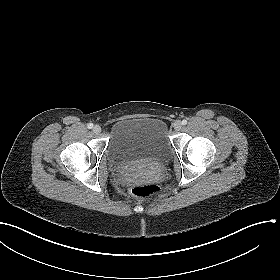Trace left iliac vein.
<instances>
[{
	"label": "left iliac vein",
	"instance_id": "left-iliac-vein-1",
	"mask_svg": "<svg viewBox=\"0 0 280 280\" xmlns=\"http://www.w3.org/2000/svg\"><path fill=\"white\" fill-rule=\"evenodd\" d=\"M173 128H174L175 131L181 130V128H182V123H181V121L176 120V121L173 123Z\"/></svg>",
	"mask_w": 280,
	"mask_h": 280
}]
</instances>
